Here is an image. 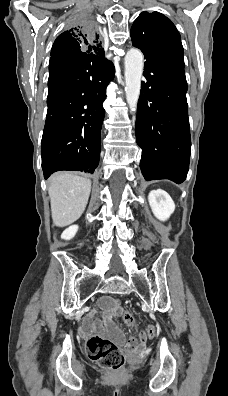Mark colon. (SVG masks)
I'll return each instance as SVG.
<instances>
[{"label": "colon", "mask_w": 228, "mask_h": 396, "mask_svg": "<svg viewBox=\"0 0 228 396\" xmlns=\"http://www.w3.org/2000/svg\"><path fill=\"white\" fill-rule=\"evenodd\" d=\"M124 321L129 326H135L134 317L129 312H124ZM146 337L152 338L156 334V327L149 325L144 330ZM87 350L89 357L102 368L117 372L123 368L125 357L118 345L99 335H94L87 341Z\"/></svg>", "instance_id": "obj_1"}]
</instances>
